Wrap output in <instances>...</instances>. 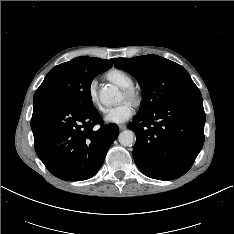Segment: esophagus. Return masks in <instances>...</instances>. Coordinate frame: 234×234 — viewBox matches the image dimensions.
<instances>
[{
	"label": "esophagus",
	"instance_id": "34e87169",
	"mask_svg": "<svg viewBox=\"0 0 234 234\" xmlns=\"http://www.w3.org/2000/svg\"><path fill=\"white\" fill-rule=\"evenodd\" d=\"M126 128H127V126L125 124H120L119 125L120 130H125Z\"/></svg>",
	"mask_w": 234,
	"mask_h": 234
}]
</instances>
